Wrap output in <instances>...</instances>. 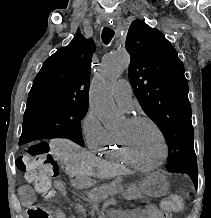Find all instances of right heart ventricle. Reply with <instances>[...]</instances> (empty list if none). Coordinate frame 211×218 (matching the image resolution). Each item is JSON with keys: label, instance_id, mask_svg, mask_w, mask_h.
<instances>
[{"label": "right heart ventricle", "instance_id": "right-heart-ventricle-1", "mask_svg": "<svg viewBox=\"0 0 211 218\" xmlns=\"http://www.w3.org/2000/svg\"><path fill=\"white\" fill-rule=\"evenodd\" d=\"M95 150L107 158L127 164L132 163L120 148L116 134L112 132H108L106 139Z\"/></svg>", "mask_w": 211, "mask_h": 218}]
</instances>
